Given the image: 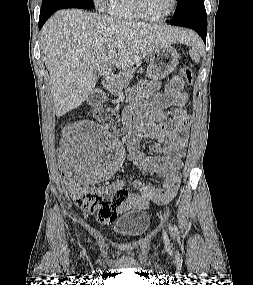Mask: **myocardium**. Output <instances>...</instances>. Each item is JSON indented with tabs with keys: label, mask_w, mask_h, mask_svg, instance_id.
Returning a JSON list of instances; mask_svg holds the SVG:
<instances>
[{
	"label": "myocardium",
	"mask_w": 253,
	"mask_h": 285,
	"mask_svg": "<svg viewBox=\"0 0 253 285\" xmlns=\"http://www.w3.org/2000/svg\"><path fill=\"white\" fill-rule=\"evenodd\" d=\"M134 2H135V7H136L139 15L141 16V18L144 19V20H148V21H162V20H165V19H167L168 17L172 16L175 13V11L177 9V6H178V0H173L172 8L170 9V11L167 14L162 15V16H158V17H153V16L148 15L145 12L144 5H143V0H134Z\"/></svg>",
	"instance_id": "f54148a6"
}]
</instances>
